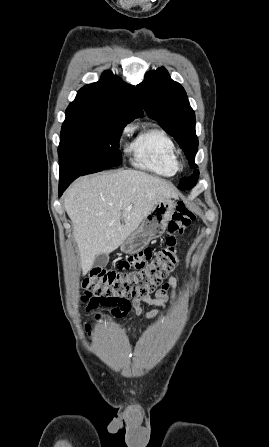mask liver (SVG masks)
I'll list each match as a JSON object with an SVG mask.
<instances>
[{
    "label": "liver",
    "instance_id": "obj_1",
    "mask_svg": "<svg viewBox=\"0 0 269 447\" xmlns=\"http://www.w3.org/2000/svg\"><path fill=\"white\" fill-rule=\"evenodd\" d=\"M167 198H178L170 182L137 170H114L74 182L64 204L74 225L83 275L96 255L117 249L155 204Z\"/></svg>",
    "mask_w": 269,
    "mask_h": 447
}]
</instances>
